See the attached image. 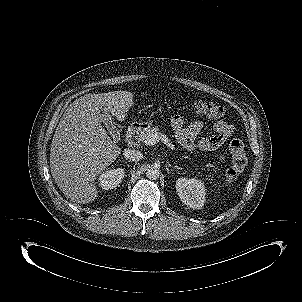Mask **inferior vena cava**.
Listing matches in <instances>:
<instances>
[{"label":"inferior vena cava","mask_w":302,"mask_h":302,"mask_svg":"<svg viewBox=\"0 0 302 302\" xmlns=\"http://www.w3.org/2000/svg\"><path fill=\"white\" fill-rule=\"evenodd\" d=\"M123 155L127 160L134 162L143 159V153L136 149H125Z\"/></svg>","instance_id":"inferior-vena-cava-1"}]
</instances>
